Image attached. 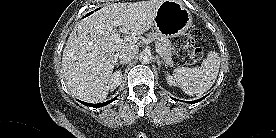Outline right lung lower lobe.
<instances>
[{
  "label": "right lung lower lobe",
  "instance_id": "98d812e1",
  "mask_svg": "<svg viewBox=\"0 0 276 138\" xmlns=\"http://www.w3.org/2000/svg\"><path fill=\"white\" fill-rule=\"evenodd\" d=\"M117 97L113 98L112 100L110 101H107V102H104V103H101V104H91V103H86V102H83V101H80L82 104H84L85 106H89V107H103V106H106L107 104L111 103L112 101H114Z\"/></svg>",
  "mask_w": 276,
  "mask_h": 138
}]
</instances>
